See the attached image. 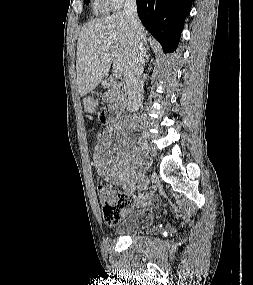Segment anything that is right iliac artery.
<instances>
[{"mask_svg":"<svg viewBox=\"0 0 253 285\" xmlns=\"http://www.w3.org/2000/svg\"><path fill=\"white\" fill-rule=\"evenodd\" d=\"M129 190H130L131 193H133L134 190H135V186L134 185H130Z\"/></svg>","mask_w":253,"mask_h":285,"instance_id":"obj_1","label":"right iliac artery"}]
</instances>
